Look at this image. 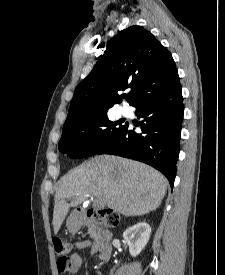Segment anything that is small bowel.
<instances>
[{"mask_svg": "<svg viewBox=\"0 0 225 275\" xmlns=\"http://www.w3.org/2000/svg\"><path fill=\"white\" fill-rule=\"evenodd\" d=\"M91 245L90 241H78L75 243V251L69 256L70 271L73 274H78L82 268V260L79 255V251L89 247ZM95 248V247H94Z\"/></svg>", "mask_w": 225, "mask_h": 275, "instance_id": "obj_1", "label": "small bowel"}]
</instances>
